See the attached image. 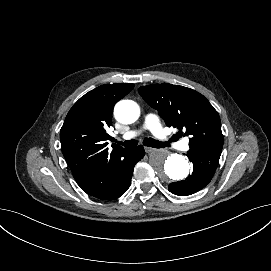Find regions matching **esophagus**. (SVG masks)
<instances>
[{
	"mask_svg": "<svg viewBox=\"0 0 271 271\" xmlns=\"http://www.w3.org/2000/svg\"><path fill=\"white\" fill-rule=\"evenodd\" d=\"M144 149H145V152H147V153H151V152L157 151V149L152 148V147H147V146Z\"/></svg>",
	"mask_w": 271,
	"mask_h": 271,
	"instance_id": "34e87169",
	"label": "esophagus"
}]
</instances>
